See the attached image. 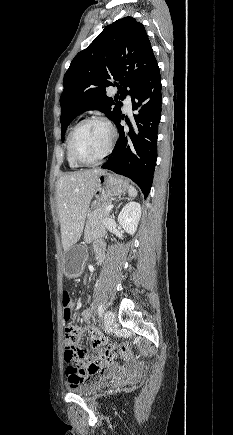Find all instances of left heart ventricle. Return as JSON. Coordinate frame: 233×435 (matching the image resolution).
<instances>
[{
	"mask_svg": "<svg viewBox=\"0 0 233 435\" xmlns=\"http://www.w3.org/2000/svg\"><path fill=\"white\" fill-rule=\"evenodd\" d=\"M108 140L109 132L104 125L87 123L75 135V149L82 160L93 161L105 151Z\"/></svg>",
	"mask_w": 233,
	"mask_h": 435,
	"instance_id": "obj_1",
	"label": "left heart ventricle"
}]
</instances>
